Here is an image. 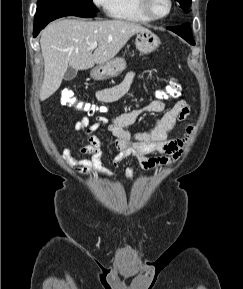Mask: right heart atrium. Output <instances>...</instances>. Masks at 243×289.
I'll list each match as a JSON object with an SVG mask.
<instances>
[{"label": "right heart atrium", "instance_id": "right-heart-atrium-1", "mask_svg": "<svg viewBox=\"0 0 243 289\" xmlns=\"http://www.w3.org/2000/svg\"><path fill=\"white\" fill-rule=\"evenodd\" d=\"M93 3L99 8L108 11L112 0H92Z\"/></svg>", "mask_w": 243, "mask_h": 289}]
</instances>
